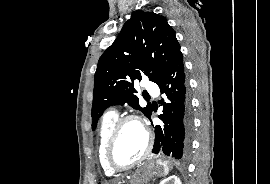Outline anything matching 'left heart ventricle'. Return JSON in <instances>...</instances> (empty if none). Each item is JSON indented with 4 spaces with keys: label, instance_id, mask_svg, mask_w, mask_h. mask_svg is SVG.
<instances>
[{
    "label": "left heart ventricle",
    "instance_id": "1",
    "mask_svg": "<svg viewBox=\"0 0 270 184\" xmlns=\"http://www.w3.org/2000/svg\"><path fill=\"white\" fill-rule=\"evenodd\" d=\"M146 147V135L136 122L126 123L115 143L112 159L118 165H127L137 160Z\"/></svg>",
    "mask_w": 270,
    "mask_h": 184
}]
</instances>
